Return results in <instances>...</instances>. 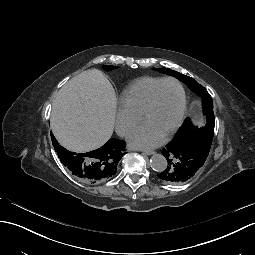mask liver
<instances>
[{"instance_id": "liver-1", "label": "liver", "mask_w": 255, "mask_h": 255, "mask_svg": "<svg viewBox=\"0 0 255 255\" xmlns=\"http://www.w3.org/2000/svg\"><path fill=\"white\" fill-rule=\"evenodd\" d=\"M117 99L98 69L81 72L58 91L52 102L50 127L58 143L82 153L103 146L112 136Z\"/></svg>"}]
</instances>
